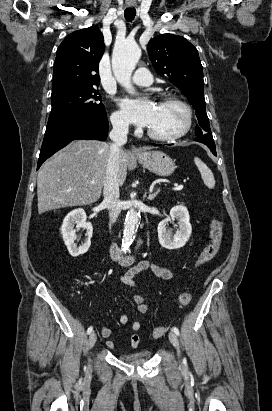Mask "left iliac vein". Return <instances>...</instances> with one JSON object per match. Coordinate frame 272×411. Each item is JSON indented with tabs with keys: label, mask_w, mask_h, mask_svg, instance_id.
I'll list each match as a JSON object with an SVG mask.
<instances>
[{
	"label": "left iliac vein",
	"mask_w": 272,
	"mask_h": 411,
	"mask_svg": "<svg viewBox=\"0 0 272 411\" xmlns=\"http://www.w3.org/2000/svg\"><path fill=\"white\" fill-rule=\"evenodd\" d=\"M169 340L172 343V345L177 349L178 354L180 355V346H179V341L178 338L176 336V334L174 332H169Z\"/></svg>",
	"instance_id": "obj_1"
}]
</instances>
